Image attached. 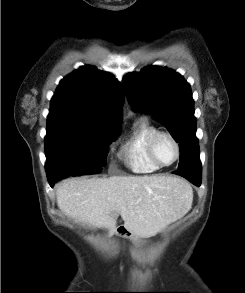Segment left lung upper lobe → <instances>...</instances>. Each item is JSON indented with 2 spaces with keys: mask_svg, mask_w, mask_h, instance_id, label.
Here are the masks:
<instances>
[{
  "mask_svg": "<svg viewBox=\"0 0 245 293\" xmlns=\"http://www.w3.org/2000/svg\"><path fill=\"white\" fill-rule=\"evenodd\" d=\"M135 111L153 114L180 143L178 170L202 173L190 85L177 72L150 66L123 79Z\"/></svg>",
  "mask_w": 245,
  "mask_h": 293,
  "instance_id": "obj_1",
  "label": "left lung upper lobe"
}]
</instances>
